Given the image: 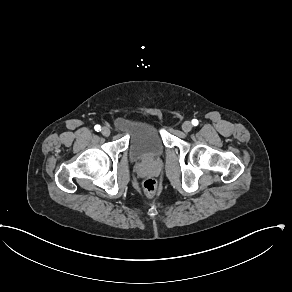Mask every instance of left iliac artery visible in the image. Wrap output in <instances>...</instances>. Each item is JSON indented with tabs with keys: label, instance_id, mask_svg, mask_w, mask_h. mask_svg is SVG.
Wrapping results in <instances>:
<instances>
[{
	"label": "left iliac artery",
	"instance_id": "44dca946",
	"mask_svg": "<svg viewBox=\"0 0 292 292\" xmlns=\"http://www.w3.org/2000/svg\"><path fill=\"white\" fill-rule=\"evenodd\" d=\"M198 123H199V122H198V120H197V119H193V120H192V124H193L194 126H197V125H198Z\"/></svg>",
	"mask_w": 292,
	"mask_h": 292
}]
</instances>
